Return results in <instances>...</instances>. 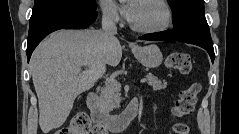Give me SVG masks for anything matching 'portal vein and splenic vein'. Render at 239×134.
I'll list each match as a JSON object with an SVG mask.
<instances>
[{"label": "portal vein and splenic vein", "instance_id": "portal-vein-and-splenic-vein-1", "mask_svg": "<svg viewBox=\"0 0 239 134\" xmlns=\"http://www.w3.org/2000/svg\"><path fill=\"white\" fill-rule=\"evenodd\" d=\"M81 69L80 68H76L75 69V72H79ZM147 81V79L146 78H142L141 80H140V83H145Z\"/></svg>", "mask_w": 239, "mask_h": 134}]
</instances>
